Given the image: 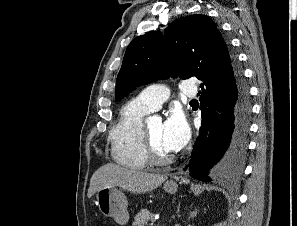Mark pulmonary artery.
Listing matches in <instances>:
<instances>
[{"label":"pulmonary artery","mask_w":297,"mask_h":226,"mask_svg":"<svg viewBox=\"0 0 297 226\" xmlns=\"http://www.w3.org/2000/svg\"><path fill=\"white\" fill-rule=\"evenodd\" d=\"M182 93L187 98H194L197 94V87L191 79H187L182 84ZM169 90L163 85H153L146 87L139 94L137 99L140 100L151 111H156L168 99Z\"/></svg>","instance_id":"1"}]
</instances>
